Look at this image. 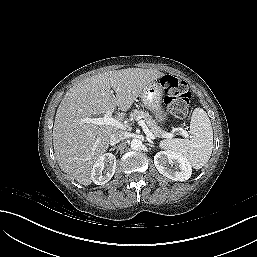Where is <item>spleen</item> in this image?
I'll use <instances>...</instances> for the list:
<instances>
[{
	"instance_id": "spleen-1",
	"label": "spleen",
	"mask_w": 257,
	"mask_h": 257,
	"mask_svg": "<svg viewBox=\"0 0 257 257\" xmlns=\"http://www.w3.org/2000/svg\"><path fill=\"white\" fill-rule=\"evenodd\" d=\"M191 139H168L159 146L165 151H174L187 159L195 169L202 168L210 159L213 149V130L207 113L202 108L193 111L190 122Z\"/></svg>"
}]
</instances>
